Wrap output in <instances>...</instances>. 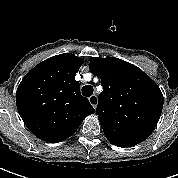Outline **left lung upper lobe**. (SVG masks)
<instances>
[{"label": "left lung upper lobe", "mask_w": 178, "mask_h": 178, "mask_svg": "<svg viewBox=\"0 0 178 178\" xmlns=\"http://www.w3.org/2000/svg\"><path fill=\"white\" fill-rule=\"evenodd\" d=\"M101 79L96 113L106 138L115 146L143 142L155 129L163 108L158 85L140 68L118 58H90Z\"/></svg>", "instance_id": "5c2ea615"}]
</instances>
